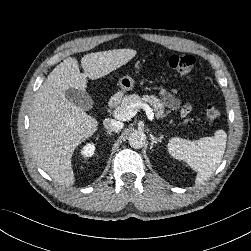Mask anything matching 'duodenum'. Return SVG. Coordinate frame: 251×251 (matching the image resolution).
<instances>
[{
  "label": "duodenum",
  "instance_id": "obj_1",
  "mask_svg": "<svg viewBox=\"0 0 251 251\" xmlns=\"http://www.w3.org/2000/svg\"><path fill=\"white\" fill-rule=\"evenodd\" d=\"M118 102H119V97L113 96L108 102V107L114 108L118 104Z\"/></svg>",
  "mask_w": 251,
  "mask_h": 251
}]
</instances>
